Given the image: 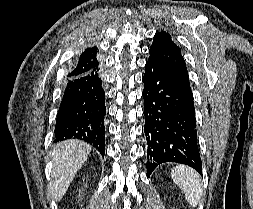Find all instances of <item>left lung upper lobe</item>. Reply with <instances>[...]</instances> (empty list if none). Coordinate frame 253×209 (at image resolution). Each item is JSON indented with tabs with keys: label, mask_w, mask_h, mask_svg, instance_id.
Here are the masks:
<instances>
[{
	"label": "left lung upper lobe",
	"mask_w": 253,
	"mask_h": 209,
	"mask_svg": "<svg viewBox=\"0 0 253 209\" xmlns=\"http://www.w3.org/2000/svg\"><path fill=\"white\" fill-rule=\"evenodd\" d=\"M149 53V61L156 62L169 69L178 78L181 86L193 102L186 63L181 55L180 48L172 41L171 35L164 31L155 34Z\"/></svg>",
	"instance_id": "obj_1"
}]
</instances>
